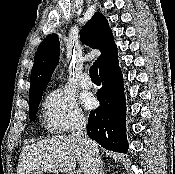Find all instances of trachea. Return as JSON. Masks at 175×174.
<instances>
[{"label":"trachea","instance_id":"trachea-1","mask_svg":"<svg viewBox=\"0 0 175 174\" xmlns=\"http://www.w3.org/2000/svg\"><path fill=\"white\" fill-rule=\"evenodd\" d=\"M90 77L92 80H100L96 62L90 68Z\"/></svg>","mask_w":175,"mask_h":174}]
</instances>
